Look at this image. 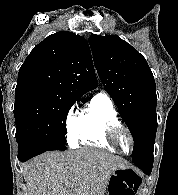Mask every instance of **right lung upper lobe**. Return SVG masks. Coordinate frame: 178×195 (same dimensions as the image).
I'll list each match as a JSON object with an SVG mask.
<instances>
[{
  "instance_id": "right-lung-upper-lobe-1",
  "label": "right lung upper lobe",
  "mask_w": 178,
  "mask_h": 195,
  "mask_svg": "<svg viewBox=\"0 0 178 195\" xmlns=\"http://www.w3.org/2000/svg\"><path fill=\"white\" fill-rule=\"evenodd\" d=\"M98 86L88 42L72 32L48 36L19 69L15 96L50 95L78 100Z\"/></svg>"
}]
</instances>
